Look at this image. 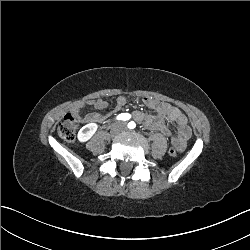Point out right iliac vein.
Masks as SVG:
<instances>
[{"label": "right iliac vein", "mask_w": 250, "mask_h": 250, "mask_svg": "<svg viewBox=\"0 0 250 250\" xmlns=\"http://www.w3.org/2000/svg\"><path fill=\"white\" fill-rule=\"evenodd\" d=\"M119 133V131L117 129H112L110 134H109V139L113 138L114 136H116Z\"/></svg>", "instance_id": "obj_1"}]
</instances>
